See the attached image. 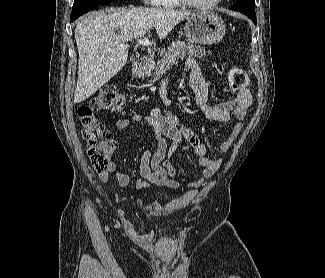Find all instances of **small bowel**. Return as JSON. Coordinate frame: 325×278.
Wrapping results in <instances>:
<instances>
[{
    "instance_id": "1",
    "label": "small bowel",
    "mask_w": 325,
    "mask_h": 278,
    "mask_svg": "<svg viewBox=\"0 0 325 278\" xmlns=\"http://www.w3.org/2000/svg\"><path fill=\"white\" fill-rule=\"evenodd\" d=\"M186 67L195 103L207 121L219 124L228 122L231 118L238 120L229 136L220 145V149L226 152L231 148L243 127L242 120L246 117L247 110L252 103L251 92L245 86L236 92L234 99L209 104L208 87L201 75L198 60L189 57L186 60ZM159 94L165 106L169 107L171 101L167 95L165 82L161 85ZM141 121L147 122L154 129L157 144L153 150L145 151L141 157L139 166L141 177L135 181L137 189H146L152 185L178 187L181 182H188V186L191 188H200L219 168L221 159L208 156L207 148L197 134L184 126L168 108H153L147 115L133 114L128 118L119 119L116 121L115 127L119 131H126ZM168 141L171 142L170 147H168ZM179 147L190 151L198 158L202 174L200 180L189 182V175H180L172 167L170 158ZM112 174L115 175L121 187H127L131 183L129 174L121 171L113 161H110L106 171L99 174L100 180L107 183Z\"/></svg>"
}]
</instances>
